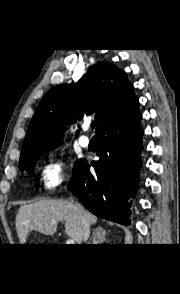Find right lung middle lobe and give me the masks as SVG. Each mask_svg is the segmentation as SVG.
<instances>
[{"mask_svg": "<svg viewBox=\"0 0 180 294\" xmlns=\"http://www.w3.org/2000/svg\"><path fill=\"white\" fill-rule=\"evenodd\" d=\"M54 147L52 148H47V149H43V150H40L38 152H36L33 156H31L30 158L22 161V162H19V167L21 170H26L28 173L31 172L36 164V161H37V158H39L42 154L48 152L49 150L53 149ZM83 162V160H78L76 162V165L74 166L73 168V173L75 174L76 171L79 169V166L80 164Z\"/></svg>", "mask_w": 180, "mask_h": 294, "instance_id": "right-lung-middle-lobe-1", "label": "right lung middle lobe"}]
</instances>
